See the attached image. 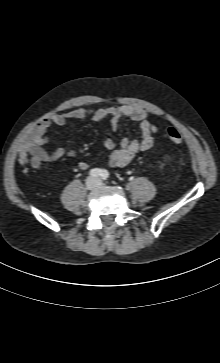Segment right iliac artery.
I'll return each instance as SVG.
<instances>
[{
	"mask_svg": "<svg viewBox=\"0 0 220 363\" xmlns=\"http://www.w3.org/2000/svg\"><path fill=\"white\" fill-rule=\"evenodd\" d=\"M101 172H102V170H101V169L95 168V169H92V170L90 171V175H91L92 177H99V176H101Z\"/></svg>",
	"mask_w": 220,
	"mask_h": 363,
	"instance_id": "1",
	"label": "right iliac artery"
}]
</instances>
